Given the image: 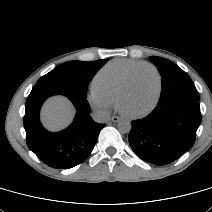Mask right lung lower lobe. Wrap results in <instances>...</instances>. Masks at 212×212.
I'll return each instance as SVG.
<instances>
[{"instance_id":"obj_1","label":"right lung lower lobe","mask_w":212,"mask_h":212,"mask_svg":"<svg viewBox=\"0 0 212 212\" xmlns=\"http://www.w3.org/2000/svg\"><path fill=\"white\" fill-rule=\"evenodd\" d=\"M64 95L74 104L77 113L73 123L61 132L43 128L39 112L44 101L53 95ZM87 96L66 88L33 87L24 115L28 148L50 167L69 169L83 162L91 153L105 124L93 121Z\"/></svg>"}]
</instances>
